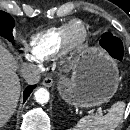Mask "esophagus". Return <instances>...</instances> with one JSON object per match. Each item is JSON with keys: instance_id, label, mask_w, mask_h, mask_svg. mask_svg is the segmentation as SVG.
Wrapping results in <instances>:
<instances>
[{"instance_id": "obj_1", "label": "esophagus", "mask_w": 130, "mask_h": 130, "mask_svg": "<svg viewBox=\"0 0 130 130\" xmlns=\"http://www.w3.org/2000/svg\"><path fill=\"white\" fill-rule=\"evenodd\" d=\"M42 85L49 88L53 85V79L50 76H47L46 78H44V80L42 81Z\"/></svg>"}]
</instances>
